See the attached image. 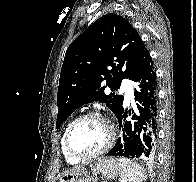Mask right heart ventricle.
Instances as JSON below:
<instances>
[{
  "label": "right heart ventricle",
  "mask_w": 196,
  "mask_h": 182,
  "mask_svg": "<svg viewBox=\"0 0 196 182\" xmlns=\"http://www.w3.org/2000/svg\"><path fill=\"white\" fill-rule=\"evenodd\" d=\"M68 126H69V125H68ZM68 126H67V127H68ZM67 127H66V129H65V132H66V130H67ZM65 132H64V135H65ZM64 135H63L62 141H61L62 153H63V155H64L66 161H67L69 164H72V165L78 164V163L80 162V160H78V159L72 157L71 155H69V154L67 153L66 149H65V146H64Z\"/></svg>",
  "instance_id": "1"
}]
</instances>
